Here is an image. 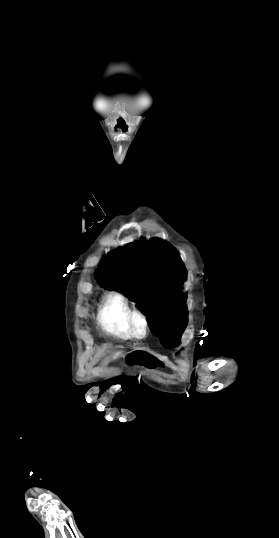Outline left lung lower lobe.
<instances>
[{"mask_svg":"<svg viewBox=\"0 0 279 538\" xmlns=\"http://www.w3.org/2000/svg\"><path fill=\"white\" fill-rule=\"evenodd\" d=\"M158 338L164 346L175 347L179 342L180 335H176L175 333H164Z\"/></svg>","mask_w":279,"mask_h":538,"instance_id":"1","label":"left lung lower lobe"}]
</instances>
